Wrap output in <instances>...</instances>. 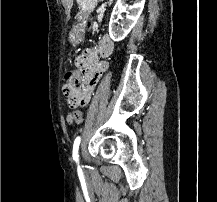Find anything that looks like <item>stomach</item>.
Here are the masks:
<instances>
[{
  "instance_id": "stomach-1",
  "label": "stomach",
  "mask_w": 217,
  "mask_h": 202,
  "mask_svg": "<svg viewBox=\"0 0 217 202\" xmlns=\"http://www.w3.org/2000/svg\"><path fill=\"white\" fill-rule=\"evenodd\" d=\"M76 2L79 10L78 18L80 24L79 26H74L72 32H69V42H71L73 46L80 44L81 40H84L85 28L83 22L88 20L91 12L96 8L98 0H76Z\"/></svg>"
}]
</instances>
